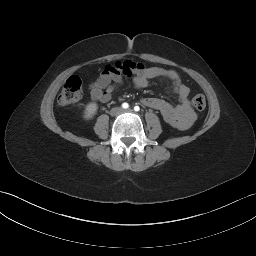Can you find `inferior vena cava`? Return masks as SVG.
<instances>
[{
  "label": "inferior vena cava",
  "instance_id": "obj_1",
  "mask_svg": "<svg viewBox=\"0 0 256 256\" xmlns=\"http://www.w3.org/2000/svg\"><path fill=\"white\" fill-rule=\"evenodd\" d=\"M121 110H122V109H116V108H114V109L111 110V115H116V114H118L119 112H121Z\"/></svg>",
  "mask_w": 256,
  "mask_h": 256
}]
</instances>
